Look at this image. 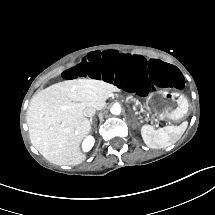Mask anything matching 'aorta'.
Returning a JSON list of instances; mask_svg holds the SVG:
<instances>
[{"instance_id":"762f6f07","label":"aorta","mask_w":215,"mask_h":215,"mask_svg":"<svg viewBox=\"0 0 215 215\" xmlns=\"http://www.w3.org/2000/svg\"><path fill=\"white\" fill-rule=\"evenodd\" d=\"M110 112L113 114V115H119L121 113V106L120 105H113L111 108H110Z\"/></svg>"}]
</instances>
